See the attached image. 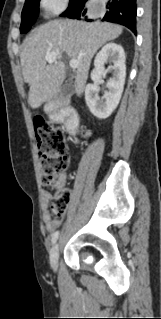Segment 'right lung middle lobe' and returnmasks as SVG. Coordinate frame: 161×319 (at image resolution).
I'll return each mask as SVG.
<instances>
[{"label":"right lung middle lobe","mask_w":161,"mask_h":319,"mask_svg":"<svg viewBox=\"0 0 161 319\" xmlns=\"http://www.w3.org/2000/svg\"><path fill=\"white\" fill-rule=\"evenodd\" d=\"M39 1L40 0H26L23 11H22V16H21L22 18L21 26H20L21 33L28 32L31 26L36 21V18L39 12ZM77 1L79 0H70L69 7L67 10H69Z\"/></svg>","instance_id":"dd1d6c3e"}]
</instances>
